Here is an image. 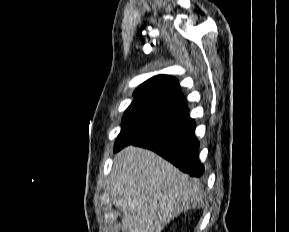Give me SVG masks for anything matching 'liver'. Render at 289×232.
Wrapping results in <instances>:
<instances>
[{"label":"liver","instance_id":"6515ba94","mask_svg":"<svg viewBox=\"0 0 289 232\" xmlns=\"http://www.w3.org/2000/svg\"><path fill=\"white\" fill-rule=\"evenodd\" d=\"M111 196L125 232H161L183 211L203 202L196 180L154 152L137 146L114 158Z\"/></svg>","mask_w":289,"mask_h":232}]
</instances>
